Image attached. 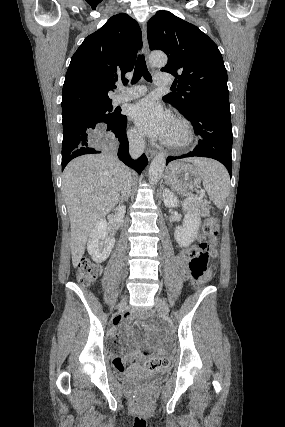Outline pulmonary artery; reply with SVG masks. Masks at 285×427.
I'll return each instance as SVG.
<instances>
[{"instance_id":"pulmonary-artery-1","label":"pulmonary artery","mask_w":285,"mask_h":427,"mask_svg":"<svg viewBox=\"0 0 285 427\" xmlns=\"http://www.w3.org/2000/svg\"><path fill=\"white\" fill-rule=\"evenodd\" d=\"M173 82L172 78L168 74H158L155 76V85L166 86L171 85ZM147 89L145 86H136L134 88H123L119 94L115 97L114 102L116 104L130 101L137 97H140L146 93Z\"/></svg>"}]
</instances>
